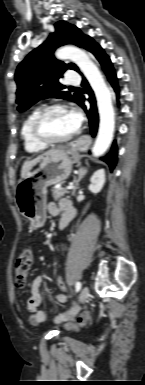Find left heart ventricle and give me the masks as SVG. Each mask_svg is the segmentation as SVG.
<instances>
[{
	"label": "left heart ventricle",
	"mask_w": 145,
	"mask_h": 385,
	"mask_svg": "<svg viewBox=\"0 0 145 385\" xmlns=\"http://www.w3.org/2000/svg\"><path fill=\"white\" fill-rule=\"evenodd\" d=\"M71 113L63 110L51 112L43 123L44 133L53 139L65 138L77 130Z\"/></svg>",
	"instance_id": "left-heart-ventricle-1"
}]
</instances>
